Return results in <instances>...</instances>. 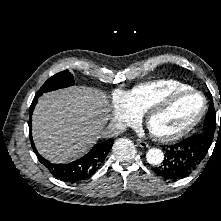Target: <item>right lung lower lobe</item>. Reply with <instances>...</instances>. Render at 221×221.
I'll return each instance as SVG.
<instances>
[{"label":"right lung lower lobe","mask_w":221,"mask_h":221,"mask_svg":"<svg viewBox=\"0 0 221 221\" xmlns=\"http://www.w3.org/2000/svg\"><path fill=\"white\" fill-rule=\"evenodd\" d=\"M39 95H35L33 102L30 106V120H29V129H30V139L31 136V116L34 110V107L37 103ZM113 139H108L105 142L96 144L90 152L85 156L78 159L77 161L68 163V164H53L45 160L35 149L34 143L31 142L35 154L37 155L39 161L45 165V167L51 172V174L65 182H78L85 180L86 178L91 177L96 170L99 168L101 163L104 161L108 155L112 145Z\"/></svg>","instance_id":"right-lung-lower-lobe-1"}]
</instances>
